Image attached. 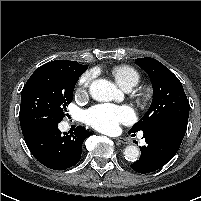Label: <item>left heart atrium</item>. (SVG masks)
Returning <instances> with one entry per match:
<instances>
[{"label": "left heart atrium", "instance_id": "39dd6f15", "mask_svg": "<svg viewBox=\"0 0 201 201\" xmlns=\"http://www.w3.org/2000/svg\"><path fill=\"white\" fill-rule=\"evenodd\" d=\"M86 122L101 132H114L119 124L134 120V111L128 106L102 104L92 107L85 112Z\"/></svg>", "mask_w": 201, "mask_h": 201}]
</instances>
